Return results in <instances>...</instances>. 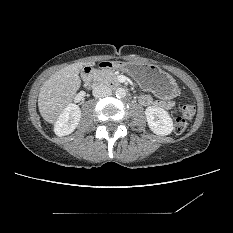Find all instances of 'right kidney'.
<instances>
[{"instance_id": "1", "label": "right kidney", "mask_w": 233, "mask_h": 233, "mask_svg": "<svg viewBox=\"0 0 233 233\" xmlns=\"http://www.w3.org/2000/svg\"><path fill=\"white\" fill-rule=\"evenodd\" d=\"M81 110L76 104H68L54 125V132L57 136L71 134L79 124Z\"/></svg>"}]
</instances>
